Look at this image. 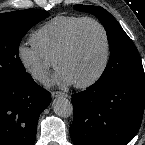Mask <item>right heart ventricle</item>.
<instances>
[{
	"mask_svg": "<svg viewBox=\"0 0 145 145\" xmlns=\"http://www.w3.org/2000/svg\"><path fill=\"white\" fill-rule=\"evenodd\" d=\"M81 18L83 17L75 15L56 16L38 28L32 34L31 41L45 57L54 61L70 30Z\"/></svg>",
	"mask_w": 145,
	"mask_h": 145,
	"instance_id": "obj_1",
	"label": "right heart ventricle"
}]
</instances>
